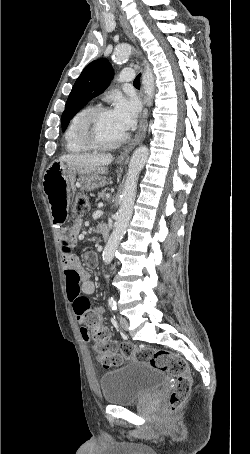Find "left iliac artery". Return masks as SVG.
Returning a JSON list of instances; mask_svg holds the SVG:
<instances>
[{
  "instance_id": "left-iliac-artery-1",
  "label": "left iliac artery",
  "mask_w": 250,
  "mask_h": 454,
  "mask_svg": "<svg viewBox=\"0 0 250 454\" xmlns=\"http://www.w3.org/2000/svg\"><path fill=\"white\" fill-rule=\"evenodd\" d=\"M108 303H109V306L112 308V310H115V311L117 310V303L113 297L109 298Z\"/></svg>"
}]
</instances>
